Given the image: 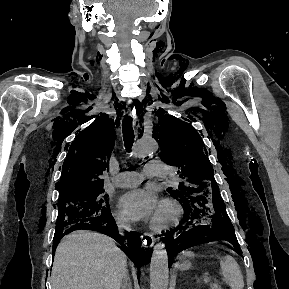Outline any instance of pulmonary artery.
<instances>
[{"label":"pulmonary artery","instance_id":"1","mask_svg":"<svg viewBox=\"0 0 289 289\" xmlns=\"http://www.w3.org/2000/svg\"><path fill=\"white\" fill-rule=\"evenodd\" d=\"M166 172L167 168L163 162L152 160L145 165L143 172L124 171L119 173L112 181L117 187L129 188L139 185L144 176L159 177L165 175Z\"/></svg>","mask_w":289,"mask_h":289}]
</instances>
